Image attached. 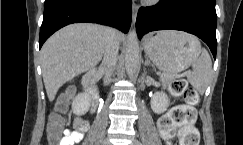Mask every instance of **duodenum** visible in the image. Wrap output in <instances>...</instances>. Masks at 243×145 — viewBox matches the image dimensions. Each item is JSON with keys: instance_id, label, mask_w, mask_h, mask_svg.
I'll return each mask as SVG.
<instances>
[{"instance_id": "obj_1", "label": "duodenum", "mask_w": 243, "mask_h": 145, "mask_svg": "<svg viewBox=\"0 0 243 145\" xmlns=\"http://www.w3.org/2000/svg\"><path fill=\"white\" fill-rule=\"evenodd\" d=\"M94 77H95V73L90 72L84 78V84H85L86 90H87L88 94L90 95V97L93 99V108H95V105H96L95 100L97 98V90L92 83Z\"/></svg>"}]
</instances>
